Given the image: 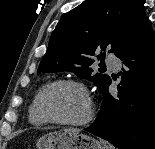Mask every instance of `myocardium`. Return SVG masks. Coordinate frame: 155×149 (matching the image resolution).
Instances as JSON below:
<instances>
[{
    "mask_svg": "<svg viewBox=\"0 0 155 149\" xmlns=\"http://www.w3.org/2000/svg\"><path fill=\"white\" fill-rule=\"evenodd\" d=\"M56 85H72L80 89V91L83 93L85 100H86V105H87V110L85 116L77 121H66V120H61L56 117H53L46 109L45 107V95L48 92V90ZM37 108L41 116L48 122L58 124V125H63V126H82L90 122L94 116V105L91 99L90 92L87 88V86L80 80L78 79H72V78H60L56 79L53 81L48 82L46 85L43 86L41 89L39 96H38V101H37Z\"/></svg>",
    "mask_w": 155,
    "mask_h": 149,
    "instance_id": "1",
    "label": "myocardium"
}]
</instances>
